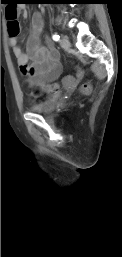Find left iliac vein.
Segmentation results:
<instances>
[{"label": "left iliac vein", "mask_w": 122, "mask_h": 257, "mask_svg": "<svg viewBox=\"0 0 122 257\" xmlns=\"http://www.w3.org/2000/svg\"><path fill=\"white\" fill-rule=\"evenodd\" d=\"M60 45L64 49H68L70 47V41L67 36H63L60 40Z\"/></svg>", "instance_id": "1"}]
</instances>
